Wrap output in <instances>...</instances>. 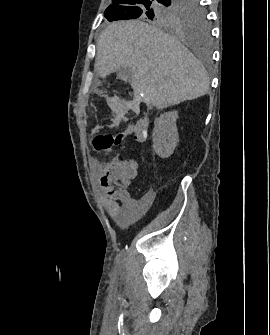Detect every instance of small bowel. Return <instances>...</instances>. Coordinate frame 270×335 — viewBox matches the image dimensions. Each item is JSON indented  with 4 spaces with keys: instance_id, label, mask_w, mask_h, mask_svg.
Instances as JSON below:
<instances>
[{
    "instance_id": "1",
    "label": "small bowel",
    "mask_w": 270,
    "mask_h": 335,
    "mask_svg": "<svg viewBox=\"0 0 270 335\" xmlns=\"http://www.w3.org/2000/svg\"><path fill=\"white\" fill-rule=\"evenodd\" d=\"M148 120L137 121L134 133L138 140H145L148 135ZM138 151H146V144H138ZM125 165V166H119ZM94 169H99V184L102 191V203L109 216L119 225H127L139 214L138 200L128 192L129 178H135L134 169H143L144 163L134 162L133 158H96Z\"/></svg>"
}]
</instances>
